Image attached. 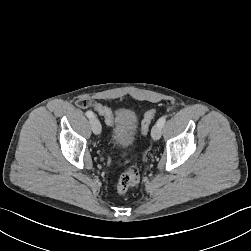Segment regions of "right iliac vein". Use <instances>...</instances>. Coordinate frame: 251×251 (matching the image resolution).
<instances>
[{"mask_svg":"<svg viewBox=\"0 0 251 251\" xmlns=\"http://www.w3.org/2000/svg\"><path fill=\"white\" fill-rule=\"evenodd\" d=\"M90 125L94 134L99 135L101 133V124L97 118H92L90 120Z\"/></svg>","mask_w":251,"mask_h":251,"instance_id":"63e3f726","label":"right iliac vein"}]
</instances>
